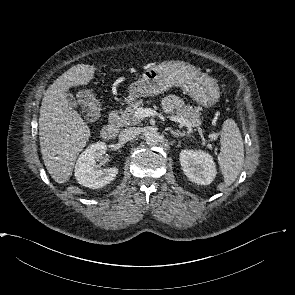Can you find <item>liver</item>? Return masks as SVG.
I'll return each instance as SVG.
<instances>
[{"label": "liver", "instance_id": "1", "mask_svg": "<svg viewBox=\"0 0 295 295\" xmlns=\"http://www.w3.org/2000/svg\"><path fill=\"white\" fill-rule=\"evenodd\" d=\"M95 70L91 65H75L44 93L39 118L40 149L48 173L60 184L70 179L75 161L90 138L87 123L69 105L66 92L70 87L88 84Z\"/></svg>", "mask_w": 295, "mask_h": 295}]
</instances>
